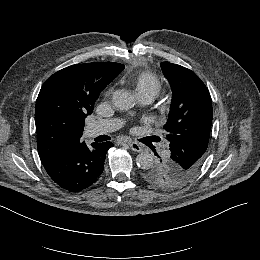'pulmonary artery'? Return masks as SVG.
Returning a JSON list of instances; mask_svg holds the SVG:
<instances>
[{
  "mask_svg": "<svg viewBox=\"0 0 260 260\" xmlns=\"http://www.w3.org/2000/svg\"><path fill=\"white\" fill-rule=\"evenodd\" d=\"M137 99L142 104H149L153 100V98L149 96L137 97ZM120 125L121 122L116 119L93 121L88 123L86 127V135L88 137H94L102 134L111 133L112 131L119 128Z\"/></svg>",
  "mask_w": 260,
  "mask_h": 260,
  "instance_id": "obj_1",
  "label": "pulmonary artery"
}]
</instances>
